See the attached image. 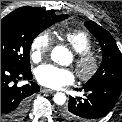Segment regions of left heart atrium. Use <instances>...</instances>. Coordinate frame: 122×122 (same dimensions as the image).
Returning <instances> with one entry per match:
<instances>
[{"label": "left heart atrium", "mask_w": 122, "mask_h": 122, "mask_svg": "<svg viewBox=\"0 0 122 122\" xmlns=\"http://www.w3.org/2000/svg\"><path fill=\"white\" fill-rule=\"evenodd\" d=\"M37 81L48 88L59 89L74 82V74L71 70L52 64H43L35 71Z\"/></svg>", "instance_id": "obj_1"}]
</instances>
